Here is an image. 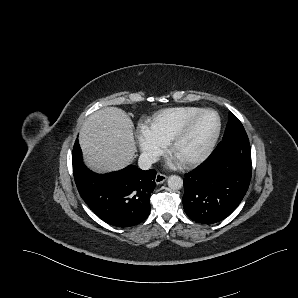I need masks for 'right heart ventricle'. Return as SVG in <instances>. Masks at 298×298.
Returning <instances> with one entry per match:
<instances>
[{"label":"right heart ventricle","instance_id":"right-heart-ventricle-1","mask_svg":"<svg viewBox=\"0 0 298 298\" xmlns=\"http://www.w3.org/2000/svg\"><path fill=\"white\" fill-rule=\"evenodd\" d=\"M201 110L202 108L195 106H182L163 109L153 115L151 119V125L152 127L160 130L166 139V137L172 133L176 126Z\"/></svg>","mask_w":298,"mask_h":298}]
</instances>
